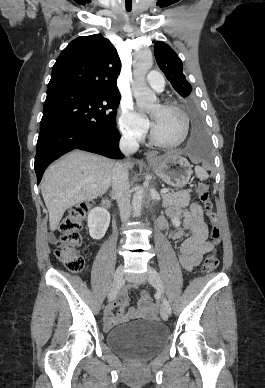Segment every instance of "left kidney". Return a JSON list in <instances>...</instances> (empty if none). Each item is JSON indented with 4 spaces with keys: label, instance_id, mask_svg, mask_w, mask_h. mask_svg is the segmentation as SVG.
<instances>
[{
    "label": "left kidney",
    "instance_id": "1",
    "mask_svg": "<svg viewBox=\"0 0 265 388\" xmlns=\"http://www.w3.org/2000/svg\"><path fill=\"white\" fill-rule=\"evenodd\" d=\"M173 224H174V226H180V222H179V220H176V218H174Z\"/></svg>",
    "mask_w": 265,
    "mask_h": 388
}]
</instances>
